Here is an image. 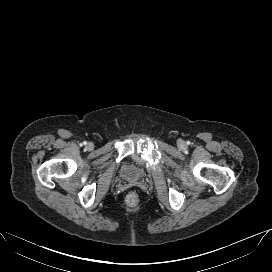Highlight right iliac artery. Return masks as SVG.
I'll return each mask as SVG.
<instances>
[{
    "label": "right iliac artery",
    "mask_w": 272,
    "mask_h": 272,
    "mask_svg": "<svg viewBox=\"0 0 272 272\" xmlns=\"http://www.w3.org/2000/svg\"><path fill=\"white\" fill-rule=\"evenodd\" d=\"M85 144H86V142L84 141V142H83V145H85Z\"/></svg>",
    "instance_id": "82829eb1"
}]
</instances>
